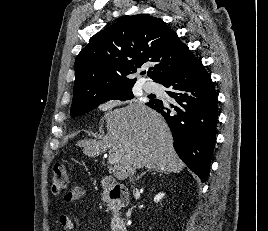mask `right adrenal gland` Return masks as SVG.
Segmentation results:
<instances>
[{
	"instance_id": "2a0ac1e0",
	"label": "right adrenal gland",
	"mask_w": 268,
	"mask_h": 231,
	"mask_svg": "<svg viewBox=\"0 0 268 231\" xmlns=\"http://www.w3.org/2000/svg\"><path fill=\"white\" fill-rule=\"evenodd\" d=\"M152 171H157V172L162 173V171H159L158 169H148V170L142 172L139 176H137L136 180H139L140 178H142V176L145 175L147 172H152Z\"/></svg>"
}]
</instances>
